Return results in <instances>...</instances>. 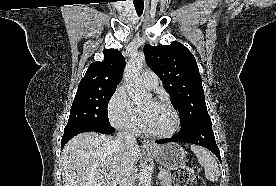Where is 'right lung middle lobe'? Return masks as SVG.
Wrapping results in <instances>:
<instances>
[{
	"label": "right lung middle lobe",
	"mask_w": 276,
	"mask_h": 186,
	"mask_svg": "<svg viewBox=\"0 0 276 186\" xmlns=\"http://www.w3.org/2000/svg\"><path fill=\"white\" fill-rule=\"evenodd\" d=\"M115 91L116 88L77 90L65 128L86 123L109 125L108 101Z\"/></svg>",
	"instance_id": "1"
}]
</instances>
